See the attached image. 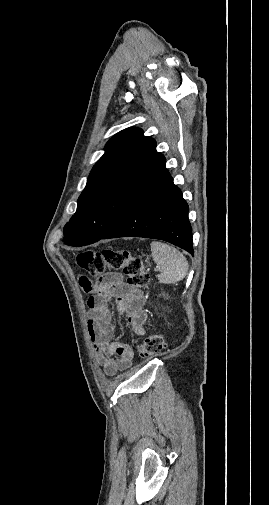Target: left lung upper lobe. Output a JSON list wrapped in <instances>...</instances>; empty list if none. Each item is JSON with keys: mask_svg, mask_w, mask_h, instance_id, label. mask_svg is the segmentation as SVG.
Instances as JSON below:
<instances>
[{"mask_svg": "<svg viewBox=\"0 0 269 505\" xmlns=\"http://www.w3.org/2000/svg\"><path fill=\"white\" fill-rule=\"evenodd\" d=\"M156 142L130 127L114 135L94 165L78 199L76 213L64 227V243L84 246L100 240L130 200Z\"/></svg>", "mask_w": 269, "mask_h": 505, "instance_id": "1", "label": "left lung upper lobe"}]
</instances>
